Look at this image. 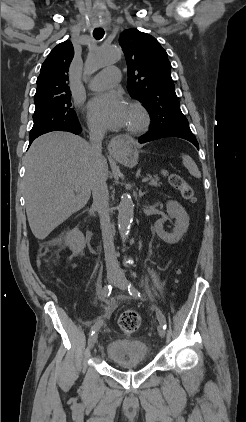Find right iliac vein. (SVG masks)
Wrapping results in <instances>:
<instances>
[{
  "mask_svg": "<svg viewBox=\"0 0 246 422\" xmlns=\"http://www.w3.org/2000/svg\"><path fill=\"white\" fill-rule=\"evenodd\" d=\"M117 277H118L117 274L114 273V272H109L107 274V279H108L109 283L115 282L117 280ZM96 342H97V333H94L93 335L90 336V338L88 340L89 347L93 348L94 345L96 344Z\"/></svg>",
  "mask_w": 246,
  "mask_h": 422,
  "instance_id": "1",
  "label": "right iliac vein"
}]
</instances>
